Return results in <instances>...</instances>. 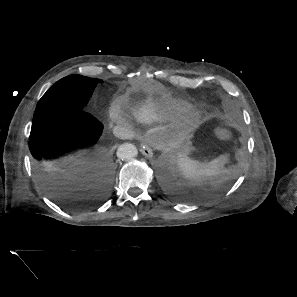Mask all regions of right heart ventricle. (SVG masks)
Instances as JSON below:
<instances>
[{
  "label": "right heart ventricle",
  "mask_w": 297,
  "mask_h": 297,
  "mask_svg": "<svg viewBox=\"0 0 297 297\" xmlns=\"http://www.w3.org/2000/svg\"><path fill=\"white\" fill-rule=\"evenodd\" d=\"M170 110L165 106L146 102L132 111V115L136 121L143 124H149L168 117Z\"/></svg>",
  "instance_id": "1"
}]
</instances>
